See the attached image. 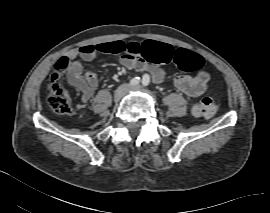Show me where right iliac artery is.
Segmentation results:
<instances>
[{"mask_svg": "<svg viewBox=\"0 0 270 213\" xmlns=\"http://www.w3.org/2000/svg\"><path fill=\"white\" fill-rule=\"evenodd\" d=\"M139 80H140L139 77H134L130 80L129 85L131 86L137 85L139 83Z\"/></svg>", "mask_w": 270, "mask_h": 213, "instance_id": "right-iliac-artery-1", "label": "right iliac artery"}]
</instances>
